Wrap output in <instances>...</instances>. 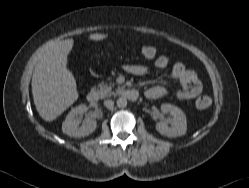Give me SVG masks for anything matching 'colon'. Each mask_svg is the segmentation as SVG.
Instances as JSON below:
<instances>
[{"instance_id":"obj_1","label":"colon","mask_w":249,"mask_h":188,"mask_svg":"<svg viewBox=\"0 0 249 188\" xmlns=\"http://www.w3.org/2000/svg\"><path fill=\"white\" fill-rule=\"evenodd\" d=\"M141 54L145 58H152L157 54V48L153 45H146L141 48ZM211 105V99L208 96H201L196 101V106L199 109H206Z\"/></svg>"}]
</instances>
